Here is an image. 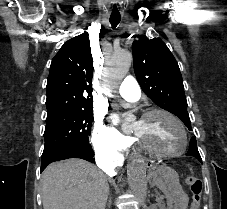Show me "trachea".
<instances>
[{
  "mask_svg": "<svg viewBox=\"0 0 227 209\" xmlns=\"http://www.w3.org/2000/svg\"><path fill=\"white\" fill-rule=\"evenodd\" d=\"M121 20V15L120 13H111L110 18H109V22L112 26V28H116V26L120 23Z\"/></svg>",
  "mask_w": 227,
  "mask_h": 209,
  "instance_id": "1",
  "label": "trachea"
}]
</instances>
